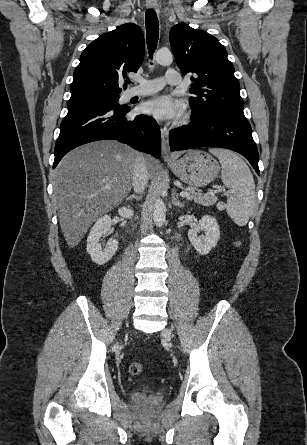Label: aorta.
Here are the masks:
<instances>
[{"label":"aorta","mask_w":307,"mask_h":445,"mask_svg":"<svg viewBox=\"0 0 307 445\" xmlns=\"http://www.w3.org/2000/svg\"><path fill=\"white\" fill-rule=\"evenodd\" d=\"M155 60L158 64H163V66H169L173 62V54L170 52L169 48H160L155 52ZM166 218V204L163 198H157L154 204L153 210V220L156 227H162L165 223Z\"/></svg>","instance_id":"aorta-1"}]
</instances>
